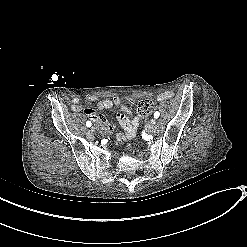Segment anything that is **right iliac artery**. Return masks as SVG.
Returning <instances> with one entry per match:
<instances>
[{
  "mask_svg": "<svg viewBox=\"0 0 247 247\" xmlns=\"http://www.w3.org/2000/svg\"><path fill=\"white\" fill-rule=\"evenodd\" d=\"M91 125H92V123H91L90 121H87V122H86V126H87V127H91Z\"/></svg>",
  "mask_w": 247,
  "mask_h": 247,
  "instance_id": "1",
  "label": "right iliac artery"
}]
</instances>
